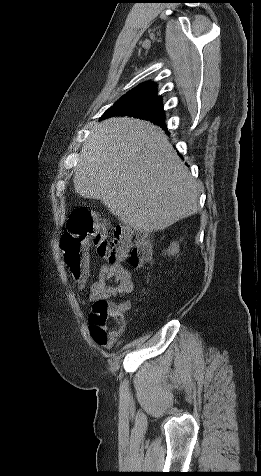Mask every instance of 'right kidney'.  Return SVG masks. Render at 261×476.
Returning a JSON list of instances; mask_svg holds the SVG:
<instances>
[{
    "label": "right kidney",
    "instance_id": "obj_1",
    "mask_svg": "<svg viewBox=\"0 0 261 476\" xmlns=\"http://www.w3.org/2000/svg\"><path fill=\"white\" fill-rule=\"evenodd\" d=\"M168 255H174L179 252V244L177 242H172L170 247L165 251Z\"/></svg>",
    "mask_w": 261,
    "mask_h": 476
}]
</instances>
